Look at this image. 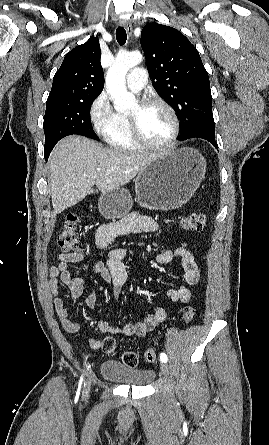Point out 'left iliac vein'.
Instances as JSON below:
<instances>
[{
    "mask_svg": "<svg viewBox=\"0 0 269 445\" xmlns=\"http://www.w3.org/2000/svg\"><path fill=\"white\" fill-rule=\"evenodd\" d=\"M161 373L164 376H167L169 374V366L166 362H162L160 365Z\"/></svg>",
    "mask_w": 269,
    "mask_h": 445,
    "instance_id": "obj_1",
    "label": "left iliac vein"
}]
</instances>
